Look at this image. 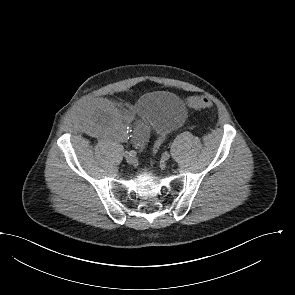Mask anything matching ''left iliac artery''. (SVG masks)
Returning a JSON list of instances; mask_svg holds the SVG:
<instances>
[{
  "instance_id": "obj_1",
  "label": "left iliac artery",
  "mask_w": 295,
  "mask_h": 295,
  "mask_svg": "<svg viewBox=\"0 0 295 295\" xmlns=\"http://www.w3.org/2000/svg\"><path fill=\"white\" fill-rule=\"evenodd\" d=\"M166 155H168V153H167V152H165V153L163 154V156H166Z\"/></svg>"
}]
</instances>
